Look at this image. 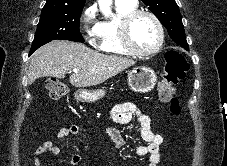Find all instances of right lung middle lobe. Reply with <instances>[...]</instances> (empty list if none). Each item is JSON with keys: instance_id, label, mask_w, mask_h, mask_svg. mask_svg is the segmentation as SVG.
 <instances>
[{"instance_id": "1", "label": "right lung middle lobe", "mask_w": 227, "mask_h": 166, "mask_svg": "<svg viewBox=\"0 0 227 166\" xmlns=\"http://www.w3.org/2000/svg\"><path fill=\"white\" fill-rule=\"evenodd\" d=\"M81 13L82 9H43L30 54L52 40L60 39L84 43L79 31Z\"/></svg>"}]
</instances>
